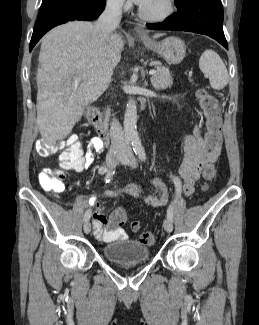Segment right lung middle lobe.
I'll return each mask as SVG.
<instances>
[{
	"label": "right lung middle lobe",
	"instance_id": "dd1d6c3e",
	"mask_svg": "<svg viewBox=\"0 0 259 325\" xmlns=\"http://www.w3.org/2000/svg\"><path fill=\"white\" fill-rule=\"evenodd\" d=\"M58 0H42V4H41V7H40V10L45 8L46 6H48L49 4L53 3V2H56Z\"/></svg>",
	"mask_w": 259,
	"mask_h": 325
}]
</instances>
